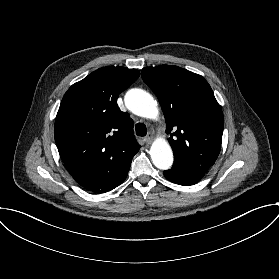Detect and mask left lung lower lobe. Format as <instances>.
Listing matches in <instances>:
<instances>
[{
    "label": "left lung lower lobe",
    "instance_id": "obj_1",
    "mask_svg": "<svg viewBox=\"0 0 279 279\" xmlns=\"http://www.w3.org/2000/svg\"><path fill=\"white\" fill-rule=\"evenodd\" d=\"M164 176L171 182L180 185H193L200 181L204 174L195 173L181 167L173 166L170 170L164 171Z\"/></svg>",
    "mask_w": 279,
    "mask_h": 279
}]
</instances>
